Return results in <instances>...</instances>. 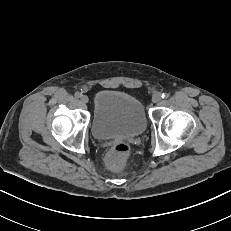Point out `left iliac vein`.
I'll return each instance as SVG.
<instances>
[{"label": "left iliac vein", "instance_id": "obj_1", "mask_svg": "<svg viewBox=\"0 0 231 231\" xmlns=\"http://www.w3.org/2000/svg\"><path fill=\"white\" fill-rule=\"evenodd\" d=\"M161 99H162L161 94L156 93L152 97V102L153 103H159L161 101Z\"/></svg>", "mask_w": 231, "mask_h": 231}]
</instances>
